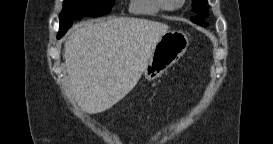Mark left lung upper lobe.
<instances>
[{"mask_svg":"<svg viewBox=\"0 0 273 144\" xmlns=\"http://www.w3.org/2000/svg\"><path fill=\"white\" fill-rule=\"evenodd\" d=\"M206 8V0H193V10L198 12V14L207 13ZM196 18L197 17L191 18V20Z\"/></svg>","mask_w":273,"mask_h":144,"instance_id":"5c2ea615","label":"left lung upper lobe"}]
</instances>
